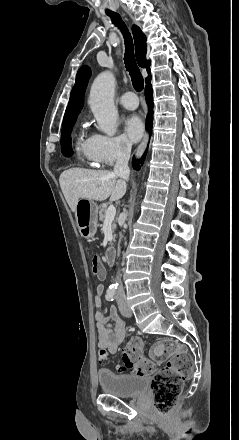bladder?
Returning a JSON list of instances; mask_svg holds the SVG:
<instances>
[{
	"instance_id": "obj_1",
	"label": "bladder",
	"mask_w": 239,
	"mask_h": 440,
	"mask_svg": "<svg viewBox=\"0 0 239 440\" xmlns=\"http://www.w3.org/2000/svg\"><path fill=\"white\" fill-rule=\"evenodd\" d=\"M97 379L103 392L121 398L140 396L149 385L146 377L118 375L106 369L98 371Z\"/></svg>"
}]
</instances>
